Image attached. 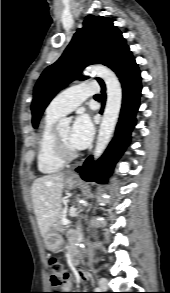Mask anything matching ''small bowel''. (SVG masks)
<instances>
[{
  "instance_id": "obj_1",
  "label": "small bowel",
  "mask_w": 170,
  "mask_h": 293,
  "mask_svg": "<svg viewBox=\"0 0 170 293\" xmlns=\"http://www.w3.org/2000/svg\"><path fill=\"white\" fill-rule=\"evenodd\" d=\"M77 274H78V276H79V278H80L81 280H83V279L85 278V273H84L83 270L78 269V270H77Z\"/></svg>"
}]
</instances>
